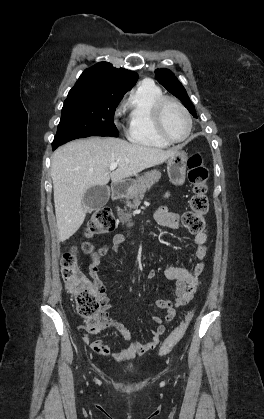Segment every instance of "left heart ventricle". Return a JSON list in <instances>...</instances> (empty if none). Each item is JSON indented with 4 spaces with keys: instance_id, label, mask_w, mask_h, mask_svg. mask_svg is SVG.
<instances>
[{
    "instance_id": "b2bd125f",
    "label": "left heart ventricle",
    "mask_w": 264,
    "mask_h": 419,
    "mask_svg": "<svg viewBox=\"0 0 264 419\" xmlns=\"http://www.w3.org/2000/svg\"><path fill=\"white\" fill-rule=\"evenodd\" d=\"M163 125L166 133L175 139L183 138L188 128L185 115L173 103H168L164 109Z\"/></svg>"
}]
</instances>
